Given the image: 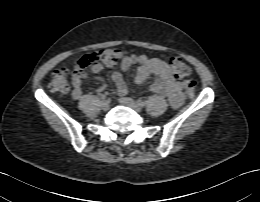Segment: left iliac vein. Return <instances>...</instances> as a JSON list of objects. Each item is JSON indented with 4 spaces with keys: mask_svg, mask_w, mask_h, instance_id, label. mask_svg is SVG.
<instances>
[{
    "mask_svg": "<svg viewBox=\"0 0 260 202\" xmlns=\"http://www.w3.org/2000/svg\"><path fill=\"white\" fill-rule=\"evenodd\" d=\"M119 102L123 105L131 107L132 109H134L136 111H141V107L131 98L122 97V98L119 99Z\"/></svg>",
    "mask_w": 260,
    "mask_h": 202,
    "instance_id": "1",
    "label": "left iliac vein"
}]
</instances>
